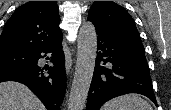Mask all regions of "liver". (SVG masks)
I'll return each mask as SVG.
<instances>
[{
    "mask_svg": "<svg viewBox=\"0 0 171 110\" xmlns=\"http://www.w3.org/2000/svg\"><path fill=\"white\" fill-rule=\"evenodd\" d=\"M0 110H45L42 102L18 82L0 83Z\"/></svg>",
    "mask_w": 171,
    "mask_h": 110,
    "instance_id": "obj_1",
    "label": "liver"
}]
</instances>
